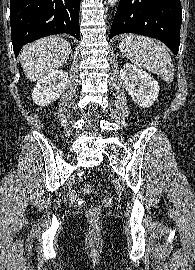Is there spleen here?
I'll list each match as a JSON object with an SVG mask.
<instances>
[{
  "label": "spleen",
  "mask_w": 195,
  "mask_h": 270,
  "mask_svg": "<svg viewBox=\"0 0 195 270\" xmlns=\"http://www.w3.org/2000/svg\"><path fill=\"white\" fill-rule=\"evenodd\" d=\"M121 53L136 66L155 73L166 82L174 79L171 57L160 42L139 35H126L119 44Z\"/></svg>",
  "instance_id": "obj_1"
}]
</instances>
